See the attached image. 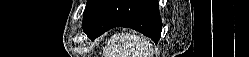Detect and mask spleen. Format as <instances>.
I'll return each mask as SVG.
<instances>
[{
	"label": "spleen",
	"mask_w": 249,
	"mask_h": 57,
	"mask_svg": "<svg viewBox=\"0 0 249 57\" xmlns=\"http://www.w3.org/2000/svg\"><path fill=\"white\" fill-rule=\"evenodd\" d=\"M115 50L105 52V57H152L149 42L139 36L129 33H121L114 36Z\"/></svg>",
	"instance_id": "spleen-1"
}]
</instances>
